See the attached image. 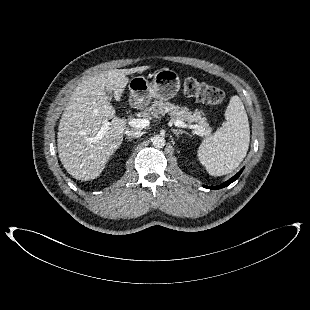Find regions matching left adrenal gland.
<instances>
[{
    "instance_id": "left-adrenal-gland-1",
    "label": "left adrenal gland",
    "mask_w": 310,
    "mask_h": 310,
    "mask_svg": "<svg viewBox=\"0 0 310 310\" xmlns=\"http://www.w3.org/2000/svg\"><path fill=\"white\" fill-rule=\"evenodd\" d=\"M173 131V133L178 137L180 134H187L188 135V133L186 132V131H183V130H175V129H173L172 130Z\"/></svg>"
}]
</instances>
